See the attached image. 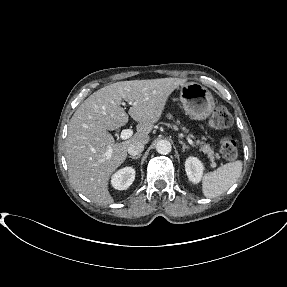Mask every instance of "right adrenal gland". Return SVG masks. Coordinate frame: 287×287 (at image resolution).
Listing matches in <instances>:
<instances>
[{
	"instance_id": "obj_1",
	"label": "right adrenal gland",
	"mask_w": 287,
	"mask_h": 287,
	"mask_svg": "<svg viewBox=\"0 0 287 287\" xmlns=\"http://www.w3.org/2000/svg\"><path fill=\"white\" fill-rule=\"evenodd\" d=\"M141 157V154H139L138 156H129V158H131V159H139Z\"/></svg>"
}]
</instances>
